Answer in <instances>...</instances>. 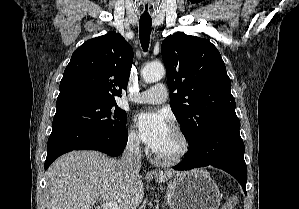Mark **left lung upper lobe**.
<instances>
[{
    "label": "left lung upper lobe",
    "mask_w": 299,
    "mask_h": 209,
    "mask_svg": "<svg viewBox=\"0 0 299 209\" xmlns=\"http://www.w3.org/2000/svg\"><path fill=\"white\" fill-rule=\"evenodd\" d=\"M172 111L189 144L223 119L236 117L225 63L208 40L174 33L161 46Z\"/></svg>",
    "instance_id": "obj_1"
}]
</instances>
